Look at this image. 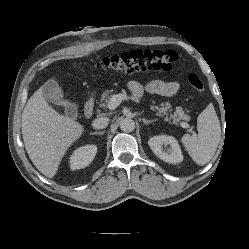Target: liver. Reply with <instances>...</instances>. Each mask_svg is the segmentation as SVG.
<instances>
[{
	"label": "liver",
	"mask_w": 249,
	"mask_h": 249,
	"mask_svg": "<svg viewBox=\"0 0 249 249\" xmlns=\"http://www.w3.org/2000/svg\"><path fill=\"white\" fill-rule=\"evenodd\" d=\"M21 127L29 158L49 178L55 176L65 152L84 131L80 123L59 114L46 102L43 87L28 100Z\"/></svg>",
	"instance_id": "liver-1"
}]
</instances>
